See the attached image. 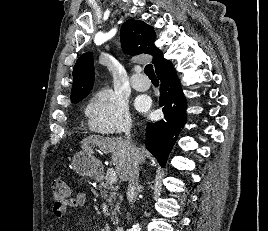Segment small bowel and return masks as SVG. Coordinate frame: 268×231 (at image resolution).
Instances as JSON below:
<instances>
[{"label": "small bowel", "instance_id": "c3829d8e", "mask_svg": "<svg viewBox=\"0 0 268 231\" xmlns=\"http://www.w3.org/2000/svg\"><path fill=\"white\" fill-rule=\"evenodd\" d=\"M86 202V194L84 192H77L73 198H71L69 202L68 209H77L82 207ZM65 214V211L62 209L55 207L54 208V215L62 216Z\"/></svg>", "mask_w": 268, "mask_h": 231}]
</instances>
